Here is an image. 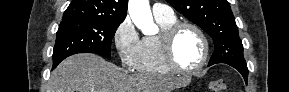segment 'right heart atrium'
<instances>
[{
    "mask_svg": "<svg viewBox=\"0 0 289 92\" xmlns=\"http://www.w3.org/2000/svg\"><path fill=\"white\" fill-rule=\"evenodd\" d=\"M113 42L122 65L128 69H135L139 59L141 40L130 18H125L117 26Z\"/></svg>",
    "mask_w": 289,
    "mask_h": 92,
    "instance_id": "d8ad5b80",
    "label": "right heart atrium"
}]
</instances>
